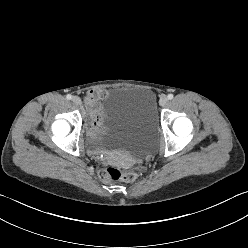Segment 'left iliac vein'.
I'll list each match as a JSON object with an SVG mask.
<instances>
[{
	"instance_id": "left-iliac-vein-1",
	"label": "left iliac vein",
	"mask_w": 248,
	"mask_h": 248,
	"mask_svg": "<svg viewBox=\"0 0 248 248\" xmlns=\"http://www.w3.org/2000/svg\"><path fill=\"white\" fill-rule=\"evenodd\" d=\"M168 103V98L166 96H162L159 100L160 106H165Z\"/></svg>"
}]
</instances>
